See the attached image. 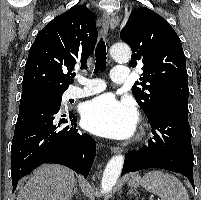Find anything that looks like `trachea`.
I'll return each mask as SVG.
<instances>
[{"label":"trachea","instance_id":"3493384b","mask_svg":"<svg viewBox=\"0 0 201 200\" xmlns=\"http://www.w3.org/2000/svg\"><path fill=\"white\" fill-rule=\"evenodd\" d=\"M95 57H96V62H95V69H94V74L99 73L100 71L104 70L106 67V60H107V52H106V45L105 42L103 41V38H100L96 50H95ZM75 74L73 75V77Z\"/></svg>","mask_w":201,"mask_h":200}]
</instances>
